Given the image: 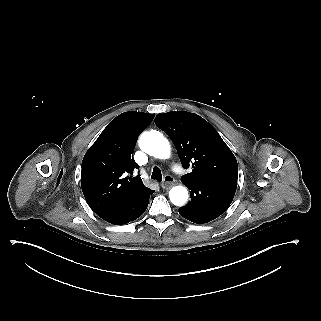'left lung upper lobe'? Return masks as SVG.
I'll return each instance as SVG.
<instances>
[{"mask_svg":"<svg viewBox=\"0 0 321 321\" xmlns=\"http://www.w3.org/2000/svg\"><path fill=\"white\" fill-rule=\"evenodd\" d=\"M155 123L173 141L183 167H192L181 177L183 183L238 177L234 154L216 129L199 115L172 111L158 114Z\"/></svg>","mask_w":321,"mask_h":321,"instance_id":"1","label":"left lung upper lobe"}]
</instances>
